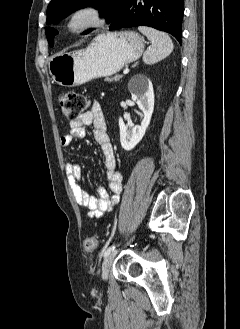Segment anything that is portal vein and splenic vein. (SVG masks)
Listing matches in <instances>:
<instances>
[{
  "label": "portal vein and splenic vein",
  "instance_id": "obj_1",
  "mask_svg": "<svg viewBox=\"0 0 240 329\" xmlns=\"http://www.w3.org/2000/svg\"><path fill=\"white\" fill-rule=\"evenodd\" d=\"M128 73H129V68H126V69L123 70V75H126Z\"/></svg>",
  "mask_w": 240,
  "mask_h": 329
}]
</instances>
